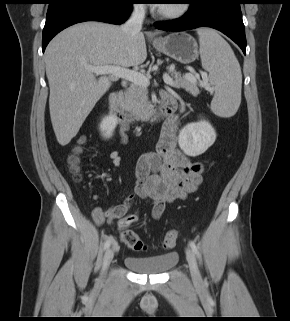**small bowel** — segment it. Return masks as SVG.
Returning <instances> with one entry per match:
<instances>
[{
  "label": "small bowel",
  "instance_id": "obj_1",
  "mask_svg": "<svg viewBox=\"0 0 290 321\" xmlns=\"http://www.w3.org/2000/svg\"><path fill=\"white\" fill-rule=\"evenodd\" d=\"M166 94L169 93L161 92V96ZM179 126L180 123L175 117L165 122L156 149L142 154L136 162V184L133 193L108 210L100 206L96 207L92 216L97 225L124 217L134 197L151 201V215L154 219H159L167 203L184 199L197 189L202 182L204 166L177 148ZM128 129L126 124L120 125L119 134L122 144L128 142Z\"/></svg>",
  "mask_w": 290,
  "mask_h": 321
}]
</instances>
